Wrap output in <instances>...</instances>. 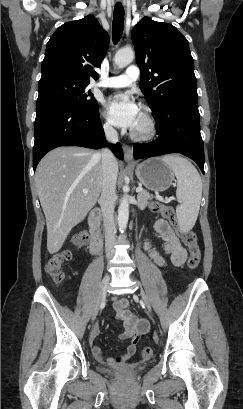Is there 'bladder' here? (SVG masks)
<instances>
[{
	"instance_id": "1",
	"label": "bladder",
	"mask_w": 243,
	"mask_h": 409,
	"mask_svg": "<svg viewBox=\"0 0 243 409\" xmlns=\"http://www.w3.org/2000/svg\"><path fill=\"white\" fill-rule=\"evenodd\" d=\"M145 369L144 364H123L120 366H99V372L115 377H133Z\"/></svg>"
}]
</instances>
